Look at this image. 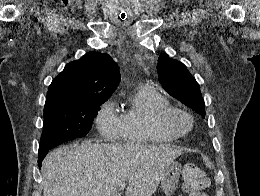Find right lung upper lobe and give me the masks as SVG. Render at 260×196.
<instances>
[{
	"label": "right lung upper lobe",
	"mask_w": 260,
	"mask_h": 196,
	"mask_svg": "<svg viewBox=\"0 0 260 196\" xmlns=\"http://www.w3.org/2000/svg\"><path fill=\"white\" fill-rule=\"evenodd\" d=\"M120 81L118 65L106 53L91 52L68 63L49 86L45 106L107 100Z\"/></svg>",
	"instance_id": "1"
}]
</instances>
